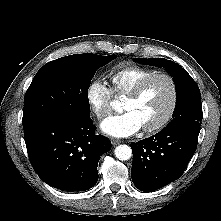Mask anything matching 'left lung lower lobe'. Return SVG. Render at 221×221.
Instances as JSON below:
<instances>
[{
	"label": "left lung lower lobe",
	"instance_id": "0a47b994",
	"mask_svg": "<svg viewBox=\"0 0 221 221\" xmlns=\"http://www.w3.org/2000/svg\"><path fill=\"white\" fill-rule=\"evenodd\" d=\"M200 126L196 123L166 126L157 134L131 144L134 185L154 191L177 180L194 155Z\"/></svg>",
	"mask_w": 221,
	"mask_h": 221
}]
</instances>
